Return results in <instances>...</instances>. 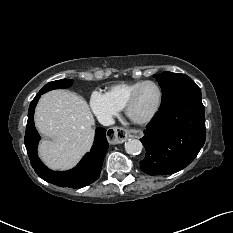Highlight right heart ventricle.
<instances>
[{
  "label": "right heart ventricle",
  "mask_w": 233,
  "mask_h": 233,
  "mask_svg": "<svg viewBox=\"0 0 233 233\" xmlns=\"http://www.w3.org/2000/svg\"><path fill=\"white\" fill-rule=\"evenodd\" d=\"M144 81L120 82L110 86L106 95L119 108L125 107L132 92Z\"/></svg>",
  "instance_id": "obj_1"
}]
</instances>
